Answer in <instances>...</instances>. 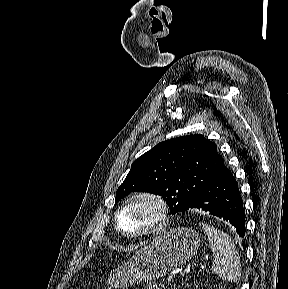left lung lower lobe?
Returning <instances> with one entry per match:
<instances>
[{"label": "left lung lower lobe", "mask_w": 288, "mask_h": 289, "mask_svg": "<svg viewBox=\"0 0 288 289\" xmlns=\"http://www.w3.org/2000/svg\"><path fill=\"white\" fill-rule=\"evenodd\" d=\"M188 209H202L217 217H223L232 224L239 236L245 235L242 197L237 181L227 167L196 196Z\"/></svg>", "instance_id": "left-lung-lower-lobe-1"}]
</instances>
